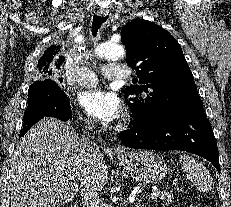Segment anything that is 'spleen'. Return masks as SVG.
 <instances>
[{"instance_id":"obj_1","label":"spleen","mask_w":231,"mask_h":207,"mask_svg":"<svg viewBox=\"0 0 231 207\" xmlns=\"http://www.w3.org/2000/svg\"><path fill=\"white\" fill-rule=\"evenodd\" d=\"M180 163L187 179H189L198 190L209 191L214 185L206 167L190 155H181Z\"/></svg>"}]
</instances>
